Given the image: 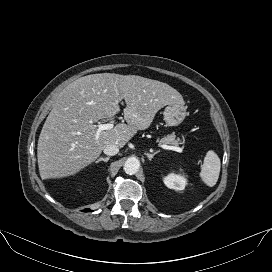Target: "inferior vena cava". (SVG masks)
Wrapping results in <instances>:
<instances>
[{
    "mask_svg": "<svg viewBox=\"0 0 272 272\" xmlns=\"http://www.w3.org/2000/svg\"><path fill=\"white\" fill-rule=\"evenodd\" d=\"M119 152V147L115 144H108L104 147V153L108 156H114Z\"/></svg>",
    "mask_w": 272,
    "mask_h": 272,
    "instance_id": "1",
    "label": "inferior vena cava"
}]
</instances>
